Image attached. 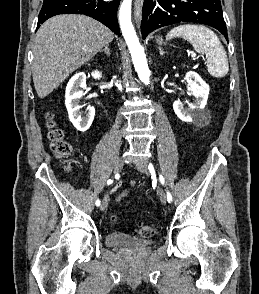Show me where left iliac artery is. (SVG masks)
Masks as SVG:
<instances>
[{"mask_svg": "<svg viewBox=\"0 0 259 294\" xmlns=\"http://www.w3.org/2000/svg\"><path fill=\"white\" fill-rule=\"evenodd\" d=\"M148 168H149L150 171L153 170V166H152V164H150V165L148 166ZM159 179H160V182L164 185V184H165L164 177H163L162 175H159ZM167 201H168L169 203L172 202V195H171V193H170L169 191H167Z\"/></svg>", "mask_w": 259, "mask_h": 294, "instance_id": "44dca946", "label": "left iliac artery"}]
</instances>
